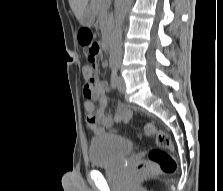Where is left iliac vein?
Listing matches in <instances>:
<instances>
[{
    "label": "left iliac vein",
    "instance_id": "left-iliac-vein-1",
    "mask_svg": "<svg viewBox=\"0 0 223 191\" xmlns=\"http://www.w3.org/2000/svg\"><path fill=\"white\" fill-rule=\"evenodd\" d=\"M117 84H118V91L120 92V93H124L125 92V81H124V78L123 77H121V76H119L118 78H117Z\"/></svg>",
    "mask_w": 223,
    "mask_h": 191
}]
</instances>
